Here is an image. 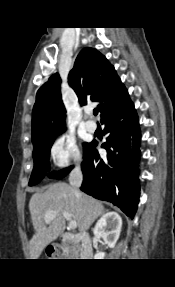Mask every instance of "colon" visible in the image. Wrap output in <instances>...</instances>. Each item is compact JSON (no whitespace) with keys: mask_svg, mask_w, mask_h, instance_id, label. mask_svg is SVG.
I'll return each mask as SVG.
<instances>
[{"mask_svg":"<svg viewBox=\"0 0 175 287\" xmlns=\"http://www.w3.org/2000/svg\"><path fill=\"white\" fill-rule=\"evenodd\" d=\"M58 254H59V251L56 247H53V246L48 247L47 255L49 257H56V256H58Z\"/></svg>","mask_w":175,"mask_h":287,"instance_id":"colon-1","label":"colon"}]
</instances>
